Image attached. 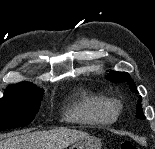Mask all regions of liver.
<instances>
[{"mask_svg": "<svg viewBox=\"0 0 155 149\" xmlns=\"http://www.w3.org/2000/svg\"><path fill=\"white\" fill-rule=\"evenodd\" d=\"M88 133L67 128L24 133L0 141V149H65Z\"/></svg>", "mask_w": 155, "mask_h": 149, "instance_id": "1", "label": "liver"}]
</instances>
